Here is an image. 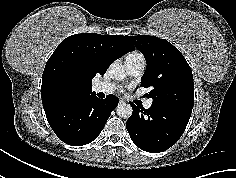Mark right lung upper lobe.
Wrapping results in <instances>:
<instances>
[{
	"mask_svg": "<svg viewBox=\"0 0 236 178\" xmlns=\"http://www.w3.org/2000/svg\"><path fill=\"white\" fill-rule=\"evenodd\" d=\"M127 36L75 34L64 39L46 63L41 86L44 110L92 92V79L133 50Z\"/></svg>",
	"mask_w": 236,
	"mask_h": 178,
	"instance_id": "obj_1",
	"label": "right lung upper lobe"
}]
</instances>
